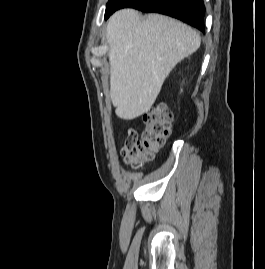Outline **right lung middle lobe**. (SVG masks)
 I'll return each mask as SVG.
<instances>
[{"label":"right lung middle lobe","instance_id":"right-lung-middle-lobe-1","mask_svg":"<svg viewBox=\"0 0 265 269\" xmlns=\"http://www.w3.org/2000/svg\"><path fill=\"white\" fill-rule=\"evenodd\" d=\"M115 0H109L107 5H106V12L109 10V8L111 7V5L113 4Z\"/></svg>","mask_w":265,"mask_h":269}]
</instances>
